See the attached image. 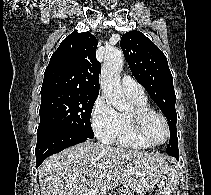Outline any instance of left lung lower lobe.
<instances>
[{"mask_svg":"<svg viewBox=\"0 0 211 195\" xmlns=\"http://www.w3.org/2000/svg\"><path fill=\"white\" fill-rule=\"evenodd\" d=\"M173 157H175L176 159H179V153L175 154Z\"/></svg>","mask_w":211,"mask_h":195,"instance_id":"left-lung-lower-lobe-1","label":"left lung lower lobe"}]
</instances>
